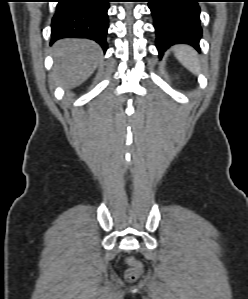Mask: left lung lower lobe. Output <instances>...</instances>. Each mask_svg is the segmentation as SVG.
Segmentation results:
<instances>
[{
	"label": "left lung lower lobe",
	"instance_id": "left-lung-lower-lobe-1",
	"mask_svg": "<svg viewBox=\"0 0 248 299\" xmlns=\"http://www.w3.org/2000/svg\"><path fill=\"white\" fill-rule=\"evenodd\" d=\"M154 18L159 54L178 43L192 45L199 51L202 35L200 0H148Z\"/></svg>",
	"mask_w": 248,
	"mask_h": 299
}]
</instances>
